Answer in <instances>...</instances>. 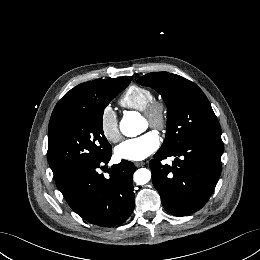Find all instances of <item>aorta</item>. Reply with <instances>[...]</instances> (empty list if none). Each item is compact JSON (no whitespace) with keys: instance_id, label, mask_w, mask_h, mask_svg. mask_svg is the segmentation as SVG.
<instances>
[{"instance_id":"1","label":"aorta","mask_w":260,"mask_h":260,"mask_svg":"<svg viewBox=\"0 0 260 260\" xmlns=\"http://www.w3.org/2000/svg\"><path fill=\"white\" fill-rule=\"evenodd\" d=\"M120 130L127 137H135L141 133L142 128L137 119L130 116H124L120 122ZM134 182L138 185H144L151 179V172L146 168H140L135 171Z\"/></svg>"}]
</instances>
